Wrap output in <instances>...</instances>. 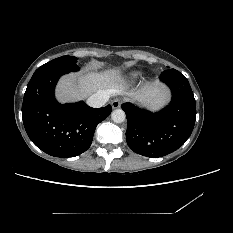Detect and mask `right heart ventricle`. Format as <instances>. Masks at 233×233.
Returning <instances> with one entry per match:
<instances>
[{
  "instance_id": "e07e8e85",
  "label": "right heart ventricle",
  "mask_w": 233,
  "mask_h": 233,
  "mask_svg": "<svg viewBox=\"0 0 233 233\" xmlns=\"http://www.w3.org/2000/svg\"><path fill=\"white\" fill-rule=\"evenodd\" d=\"M138 77V74H131L130 76H129V78H131V79H136Z\"/></svg>"
}]
</instances>
